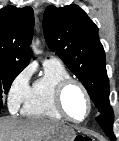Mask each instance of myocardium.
Returning <instances> with one entry per match:
<instances>
[{
    "instance_id": "obj_1",
    "label": "myocardium",
    "mask_w": 119,
    "mask_h": 141,
    "mask_svg": "<svg viewBox=\"0 0 119 141\" xmlns=\"http://www.w3.org/2000/svg\"><path fill=\"white\" fill-rule=\"evenodd\" d=\"M71 85L78 86L81 89V91L83 92V94H84V96L86 98V101H87V113L81 120L73 119L72 117H70L68 115V113L66 112L65 107H64V102H63L64 94H65L66 90ZM54 103H55V107H56L58 113L64 119H66V120H68L70 122H73V123L84 122L89 117V115L91 114V111H92V99H91V96H90L87 88L79 80L71 78V77L63 79L62 81H60L56 85L55 91H54Z\"/></svg>"
}]
</instances>
